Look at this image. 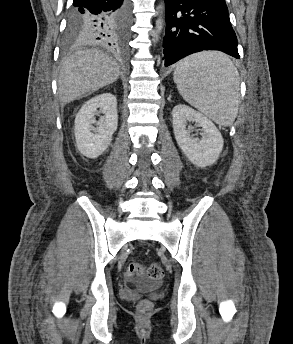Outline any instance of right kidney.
<instances>
[{
    "instance_id": "1",
    "label": "right kidney",
    "mask_w": 293,
    "mask_h": 344,
    "mask_svg": "<svg viewBox=\"0 0 293 344\" xmlns=\"http://www.w3.org/2000/svg\"><path fill=\"white\" fill-rule=\"evenodd\" d=\"M95 115L100 116L98 121ZM117 125V99L113 94L102 93L85 102L76 115L74 127L80 153L92 159L103 154L112 141Z\"/></svg>"
}]
</instances>
